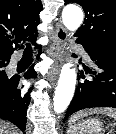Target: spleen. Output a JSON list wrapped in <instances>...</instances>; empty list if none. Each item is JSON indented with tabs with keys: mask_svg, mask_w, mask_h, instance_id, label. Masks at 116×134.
Wrapping results in <instances>:
<instances>
[{
	"mask_svg": "<svg viewBox=\"0 0 116 134\" xmlns=\"http://www.w3.org/2000/svg\"><path fill=\"white\" fill-rule=\"evenodd\" d=\"M94 113L106 114L107 116L112 117L116 120V110L115 109H112V108H94V109L78 112L77 114L73 115L70 118L69 123L71 125L79 118H82L86 115H90V114H94Z\"/></svg>",
	"mask_w": 116,
	"mask_h": 134,
	"instance_id": "spleen-1",
	"label": "spleen"
}]
</instances>
